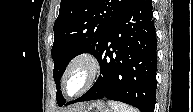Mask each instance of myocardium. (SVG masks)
<instances>
[{
  "label": "myocardium",
  "mask_w": 193,
  "mask_h": 112,
  "mask_svg": "<svg viewBox=\"0 0 193 112\" xmlns=\"http://www.w3.org/2000/svg\"><path fill=\"white\" fill-rule=\"evenodd\" d=\"M77 66L85 67L87 71V78L83 87L76 93L70 94L67 90V80L70 73ZM100 73V62L97 56L88 50L78 52L75 54L67 63L63 77H62V88L66 95L70 97H78L90 90L96 83Z\"/></svg>",
  "instance_id": "f54148a6"
}]
</instances>
